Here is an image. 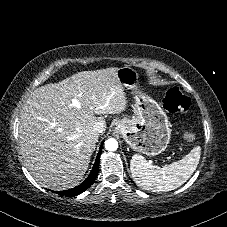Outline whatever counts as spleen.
I'll return each instance as SVG.
<instances>
[{
	"instance_id": "spleen-1",
	"label": "spleen",
	"mask_w": 227,
	"mask_h": 227,
	"mask_svg": "<svg viewBox=\"0 0 227 227\" xmlns=\"http://www.w3.org/2000/svg\"><path fill=\"white\" fill-rule=\"evenodd\" d=\"M201 148L194 147L189 154L177 162L163 167L155 166L142 155L132 156L130 170L136 184L144 190L167 192L184 184L196 170Z\"/></svg>"
}]
</instances>
